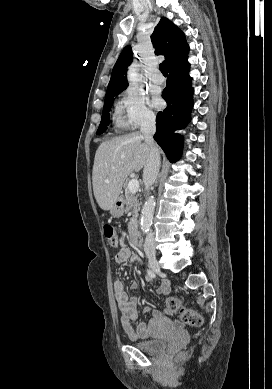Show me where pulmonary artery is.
Here are the masks:
<instances>
[{"label": "pulmonary artery", "mask_w": 272, "mask_h": 389, "mask_svg": "<svg viewBox=\"0 0 272 389\" xmlns=\"http://www.w3.org/2000/svg\"><path fill=\"white\" fill-rule=\"evenodd\" d=\"M151 80L154 84H162L164 82V78L159 72L153 73Z\"/></svg>", "instance_id": "pulmonary-artery-1"}]
</instances>
